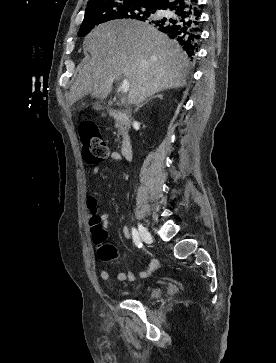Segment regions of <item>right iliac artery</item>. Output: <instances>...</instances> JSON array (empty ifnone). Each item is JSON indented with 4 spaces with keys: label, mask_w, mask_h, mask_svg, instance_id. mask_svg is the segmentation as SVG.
Returning <instances> with one entry per match:
<instances>
[{
    "label": "right iliac artery",
    "mask_w": 276,
    "mask_h": 363,
    "mask_svg": "<svg viewBox=\"0 0 276 363\" xmlns=\"http://www.w3.org/2000/svg\"><path fill=\"white\" fill-rule=\"evenodd\" d=\"M132 238H133V242L135 243V245L138 248L142 247V242L139 236V233L137 232V230L135 228L132 229Z\"/></svg>",
    "instance_id": "right-iliac-artery-1"
}]
</instances>
